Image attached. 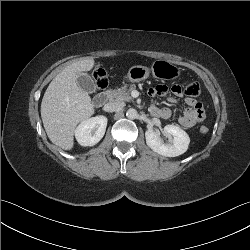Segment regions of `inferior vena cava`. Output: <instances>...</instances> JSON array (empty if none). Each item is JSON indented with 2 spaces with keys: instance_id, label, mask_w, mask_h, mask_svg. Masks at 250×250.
Returning a JSON list of instances; mask_svg holds the SVG:
<instances>
[{
  "instance_id": "obj_1",
  "label": "inferior vena cava",
  "mask_w": 250,
  "mask_h": 250,
  "mask_svg": "<svg viewBox=\"0 0 250 250\" xmlns=\"http://www.w3.org/2000/svg\"><path fill=\"white\" fill-rule=\"evenodd\" d=\"M124 106L121 102H111L104 106L106 112H115Z\"/></svg>"
}]
</instances>
